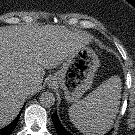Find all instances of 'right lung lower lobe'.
Listing matches in <instances>:
<instances>
[{"mask_svg":"<svg viewBox=\"0 0 135 135\" xmlns=\"http://www.w3.org/2000/svg\"><path fill=\"white\" fill-rule=\"evenodd\" d=\"M20 114L18 117L8 126L0 130V135H10V133L14 130L18 120H19Z\"/></svg>","mask_w":135,"mask_h":135,"instance_id":"right-lung-lower-lobe-1","label":"right lung lower lobe"}]
</instances>
